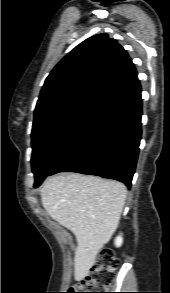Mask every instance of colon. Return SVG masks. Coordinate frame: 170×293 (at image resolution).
I'll list each match as a JSON object with an SVG mask.
<instances>
[{"instance_id": "1", "label": "colon", "mask_w": 170, "mask_h": 293, "mask_svg": "<svg viewBox=\"0 0 170 293\" xmlns=\"http://www.w3.org/2000/svg\"><path fill=\"white\" fill-rule=\"evenodd\" d=\"M118 260L112 249L103 248L98 253L85 279L78 282L72 293H105L114 280V268Z\"/></svg>"}]
</instances>
